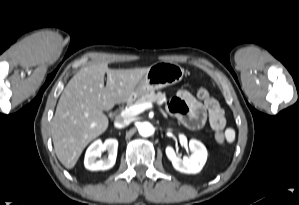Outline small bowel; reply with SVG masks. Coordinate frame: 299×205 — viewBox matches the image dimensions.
<instances>
[{
	"label": "small bowel",
	"mask_w": 299,
	"mask_h": 205,
	"mask_svg": "<svg viewBox=\"0 0 299 205\" xmlns=\"http://www.w3.org/2000/svg\"><path fill=\"white\" fill-rule=\"evenodd\" d=\"M201 100L188 90H180L169 102L168 110L190 129L210 126L213 130H224L226 119L219 102L212 97Z\"/></svg>",
	"instance_id": "c3829d8e"
}]
</instances>
